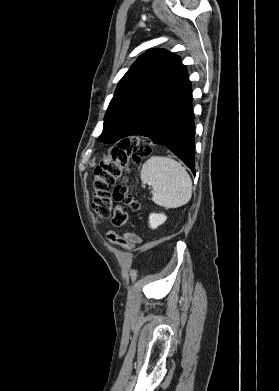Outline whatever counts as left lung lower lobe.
Instances as JSON below:
<instances>
[{
  "label": "left lung lower lobe",
  "instance_id": "0a47b994",
  "mask_svg": "<svg viewBox=\"0 0 279 391\" xmlns=\"http://www.w3.org/2000/svg\"><path fill=\"white\" fill-rule=\"evenodd\" d=\"M192 86L167 106L150 124L136 135L150 138L166 146L195 174V124L192 106Z\"/></svg>",
  "mask_w": 279,
  "mask_h": 391
}]
</instances>
